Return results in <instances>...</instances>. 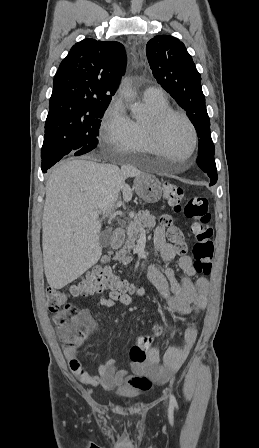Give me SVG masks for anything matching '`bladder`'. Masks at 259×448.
<instances>
[{
  "instance_id": "1",
  "label": "bladder",
  "mask_w": 259,
  "mask_h": 448,
  "mask_svg": "<svg viewBox=\"0 0 259 448\" xmlns=\"http://www.w3.org/2000/svg\"><path fill=\"white\" fill-rule=\"evenodd\" d=\"M116 395L125 400H134L138 397V393L132 389H119Z\"/></svg>"
}]
</instances>
